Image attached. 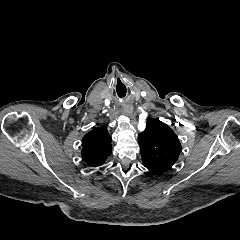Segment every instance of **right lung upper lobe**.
<instances>
[{"label": "right lung upper lobe", "instance_id": "1", "mask_svg": "<svg viewBox=\"0 0 240 240\" xmlns=\"http://www.w3.org/2000/svg\"><path fill=\"white\" fill-rule=\"evenodd\" d=\"M82 158L89 166H101L111 154V136L106 127L93 129L82 139Z\"/></svg>", "mask_w": 240, "mask_h": 240}]
</instances>
